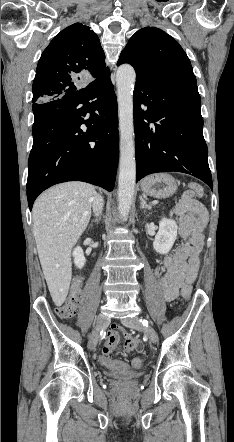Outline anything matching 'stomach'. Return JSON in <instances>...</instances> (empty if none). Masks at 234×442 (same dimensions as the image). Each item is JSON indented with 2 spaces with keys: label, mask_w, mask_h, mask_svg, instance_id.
I'll list each match as a JSON object with an SVG mask.
<instances>
[{
  "label": "stomach",
  "mask_w": 234,
  "mask_h": 442,
  "mask_svg": "<svg viewBox=\"0 0 234 442\" xmlns=\"http://www.w3.org/2000/svg\"><path fill=\"white\" fill-rule=\"evenodd\" d=\"M178 185L174 177L167 173H156L143 179L142 191L155 198H169L176 192Z\"/></svg>",
  "instance_id": "0dacf381"
}]
</instances>
